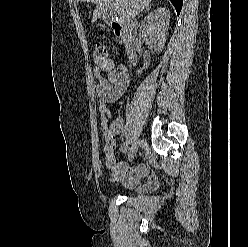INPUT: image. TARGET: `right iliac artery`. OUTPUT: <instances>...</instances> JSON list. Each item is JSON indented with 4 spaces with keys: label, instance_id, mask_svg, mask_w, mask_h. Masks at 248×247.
I'll use <instances>...</instances> for the list:
<instances>
[{
    "label": "right iliac artery",
    "instance_id": "1",
    "mask_svg": "<svg viewBox=\"0 0 248 247\" xmlns=\"http://www.w3.org/2000/svg\"><path fill=\"white\" fill-rule=\"evenodd\" d=\"M127 150H128V144L126 143L124 147V152H127Z\"/></svg>",
    "mask_w": 248,
    "mask_h": 247
}]
</instances>
